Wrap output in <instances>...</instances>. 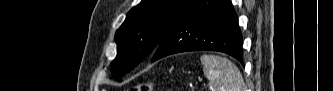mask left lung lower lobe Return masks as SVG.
Returning <instances> with one entry per match:
<instances>
[{"label": "left lung lower lobe", "instance_id": "1", "mask_svg": "<svg viewBox=\"0 0 333 91\" xmlns=\"http://www.w3.org/2000/svg\"><path fill=\"white\" fill-rule=\"evenodd\" d=\"M187 51L224 52L243 64L242 36L230 0H198L161 41L152 61Z\"/></svg>", "mask_w": 333, "mask_h": 91}]
</instances>
